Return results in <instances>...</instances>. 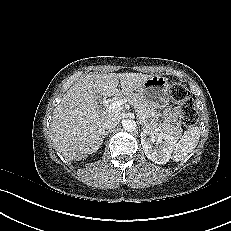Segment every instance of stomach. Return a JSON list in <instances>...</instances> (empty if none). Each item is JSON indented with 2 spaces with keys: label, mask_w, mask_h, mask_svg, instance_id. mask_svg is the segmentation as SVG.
<instances>
[{
  "label": "stomach",
  "mask_w": 231,
  "mask_h": 231,
  "mask_svg": "<svg viewBox=\"0 0 231 231\" xmlns=\"http://www.w3.org/2000/svg\"><path fill=\"white\" fill-rule=\"evenodd\" d=\"M170 83L168 78L154 75L138 89V94L154 108L163 107L169 102Z\"/></svg>",
  "instance_id": "1"
}]
</instances>
